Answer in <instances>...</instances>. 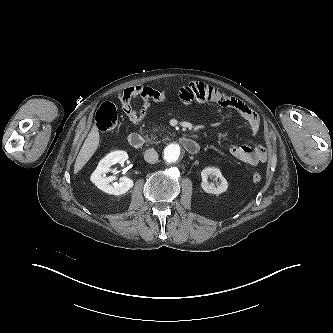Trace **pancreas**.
I'll list each match as a JSON object with an SVG mask.
<instances>
[{"label": "pancreas", "instance_id": "pancreas-1", "mask_svg": "<svg viewBox=\"0 0 333 333\" xmlns=\"http://www.w3.org/2000/svg\"><path fill=\"white\" fill-rule=\"evenodd\" d=\"M154 132H155V130H154ZM155 135H153V134H151V140L153 141L154 139H155V137H154ZM147 137V136H146ZM147 140H149L150 141V139L147 137Z\"/></svg>", "mask_w": 333, "mask_h": 333}]
</instances>
